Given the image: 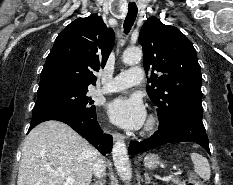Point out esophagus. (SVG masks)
Wrapping results in <instances>:
<instances>
[{
    "label": "esophagus",
    "mask_w": 233,
    "mask_h": 185,
    "mask_svg": "<svg viewBox=\"0 0 233 185\" xmlns=\"http://www.w3.org/2000/svg\"><path fill=\"white\" fill-rule=\"evenodd\" d=\"M124 138H125L124 135H122L121 133H114L113 134L114 141H123Z\"/></svg>",
    "instance_id": "esophagus-1"
}]
</instances>
